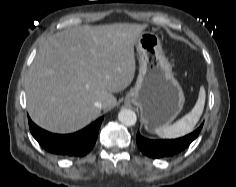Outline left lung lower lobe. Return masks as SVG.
<instances>
[{
	"instance_id": "obj_1",
	"label": "left lung lower lobe",
	"mask_w": 236,
	"mask_h": 187,
	"mask_svg": "<svg viewBox=\"0 0 236 187\" xmlns=\"http://www.w3.org/2000/svg\"><path fill=\"white\" fill-rule=\"evenodd\" d=\"M202 126L203 124L194 132L175 140H150L137 133V145L150 158L171 157L186 149L197 138Z\"/></svg>"
}]
</instances>
